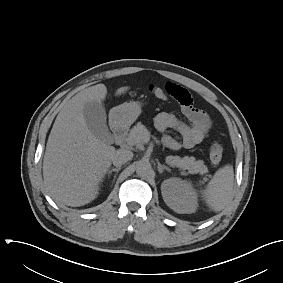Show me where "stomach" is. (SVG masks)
Segmentation results:
<instances>
[{"mask_svg": "<svg viewBox=\"0 0 283 283\" xmlns=\"http://www.w3.org/2000/svg\"><path fill=\"white\" fill-rule=\"evenodd\" d=\"M142 103L131 101L123 103L112 111V116L115 123L119 125H131L141 114Z\"/></svg>", "mask_w": 283, "mask_h": 283, "instance_id": "stomach-1", "label": "stomach"}]
</instances>
